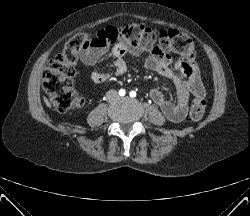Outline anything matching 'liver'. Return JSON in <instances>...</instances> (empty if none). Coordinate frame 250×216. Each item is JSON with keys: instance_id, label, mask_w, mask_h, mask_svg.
Masks as SVG:
<instances>
[{"instance_id": "obj_1", "label": "liver", "mask_w": 250, "mask_h": 216, "mask_svg": "<svg viewBox=\"0 0 250 216\" xmlns=\"http://www.w3.org/2000/svg\"><path fill=\"white\" fill-rule=\"evenodd\" d=\"M44 101L47 107L51 108V104L49 103V101L47 100V98L44 97Z\"/></svg>"}]
</instances>
